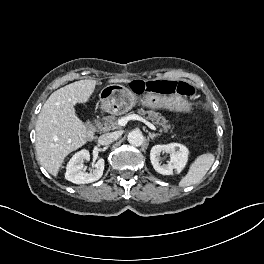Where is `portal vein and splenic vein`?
I'll list each match as a JSON object with an SVG mask.
<instances>
[{
	"instance_id": "1",
	"label": "portal vein and splenic vein",
	"mask_w": 264,
	"mask_h": 264,
	"mask_svg": "<svg viewBox=\"0 0 264 264\" xmlns=\"http://www.w3.org/2000/svg\"><path fill=\"white\" fill-rule=\"evenodd\" d=\"M130 120H139V121H142L143 123H145L150 129L152 130H156V127L150 123L149 121H147L146 119L140 117L139 115H136V114H132V115H129V116H126V117H122L118 120V125L120 127H123L127 124L128 121Z\"/></svg>"
}]
</instances>
